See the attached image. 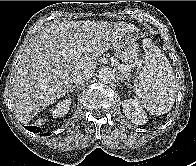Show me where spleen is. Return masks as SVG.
Segmentation results:
<instances>
[{"instance_id": "3e777b00", "label": "spleen", "mask_w": 196, "mask_h": 166, "mask_svg": "<svg viewBox=\"0 0 196 166\" xmlns=\"http://www.w3.org/2000/svg\"><path fill=\"white\" fill-rule=\"evenodd\" d=\"M144 67L136 83V96L153 115L168 113L175 102L177 86L172 67L150 40L144 42Z\"/></svg>"}]
</instances>
